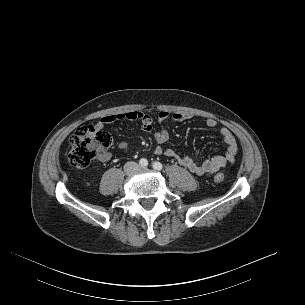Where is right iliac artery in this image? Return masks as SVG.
<instances>
[{"mask_svg": "<svg viewBox=\"0 0 305 305\" xmlns=\"http://www.w3.org/2000/svg\"><path fill=\"white\" fill-rule=\"evenodd\" d=\"M139 165H140L141 167H146V166L148 165L147 159H144V158L140 159Z\"/></svg>", "mask_w": 305, "mask_h": 305, "instance_id": "right-iliac-artery-1", "label": "right iliac artery"}]
</instances>
